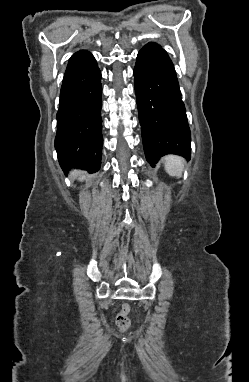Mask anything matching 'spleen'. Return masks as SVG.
Returning a JSON list of instances; mask_svg holds the SVG:
<instances>
[{"mask_svg":"<svg viewBox=\"0 0 249 382\" xmlns=\"http://www.w3.org/2000/svg\"><path fill=\"white\" fill-rule=\"evenodd\" d=\"M164 167L166 172L172 177H181L184 170V160L177 155H167L164 157Z\"/></svg>","mask_w":249,"mask_h":382,"instance_id":"1","label":"spleen"}]
</instances>
